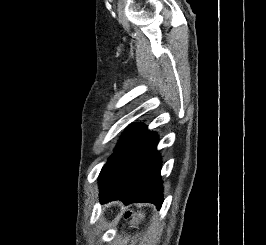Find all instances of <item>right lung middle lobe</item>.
I'll return each mask as SVG.
<instances>
[{"label": "right lung middle lobe", "instance_id": "dd1d6c3e", "mask_svg": "<svg viewBox=\"0 0 266 245\" xmlns=\"http://www.w3.org/2000/svg\"><path fill=\"white\" fill-rule=\"evenodd\" d=\"M144 126H145L144 124L138 123V124H133L130 128H128L121 137V140L118 143V148L122 144H124L129 138H131L134 134H136L139 130H141Z\"/></svg>", "mask_w": 266, "mask_h": 245}]
</instances>
